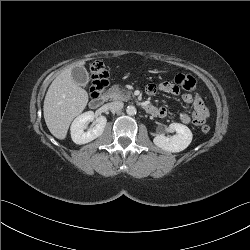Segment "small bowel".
<instances>
[{
  "label": "small bowel",
  "mask_w": 250,
  "mask_h": 250,
  "mask_svg": "<svg viewBox=\"0 0 250 250\" xmlns=\"http://www.w3.org/2000/svg\"><path fill=\"white\" fill-rule=\"evenodd\" d=\"M157 89L171 93V94H178L179 93V86L174 85L173 83H162L158 87L154 84H149L147 86V93L148 94H154ZM182 100L184 103L189 104L193 107V110L190 113H182L180 115V119L183 123L188 124L192 123L196 126H200L205 123L207 117H208V110L207 107L202 100L201 97L198 95H193L190 93H185L182 95ZM156 113L155 116L158 117H165L167 115V110L164 107H155Z\"/></svg>",
  "instance_id": "small-bowel-1"
}]
</instances>
